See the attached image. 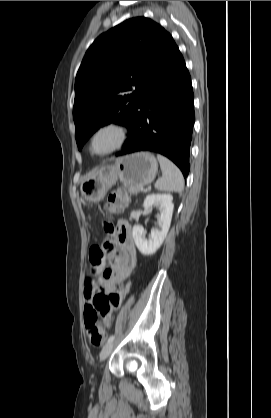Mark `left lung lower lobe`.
<instances>
[{"label": "left lung lower lobe", "mask_w": 271, "mask_h": 418, "mask_svg": "<svg viewBox=\"0 0 271 418\" xmlns=\"http://www.w3.org/2000/svg\"><path fill=\"white\" fill-rule=\"evenodd\" d=\"M195 122L191 77L177 45L168 52L144 88L126 125L130 137L123 151H153L171 159L187 177L189 150Z\"/></svg>", "instance_id": "0a47b994"}]
</instances>
